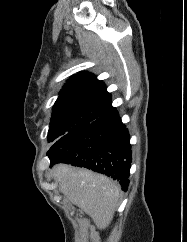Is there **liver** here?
I'll return each instance as SVG.
<instances>
[{"label": "liver", "instance_id": "1", "mask_svg": "<svg viewBox=\"0 0 187 242\" xmlns=\"http://www.w3.org/2000/svg\"><path fill=\"white\" fill-rule=\"evenodd\" d=\"M52 176L64 196L89 215L98 229L109 226L119 197L117 186L109 178L63 164L53 168Z\"/></svg>", "mask_w": 187, "mask_h": 242}]
</instances>
